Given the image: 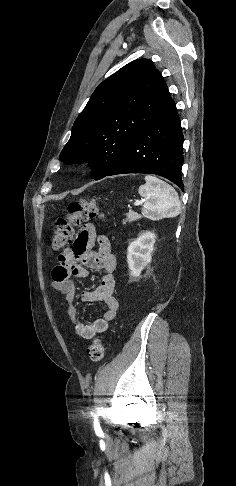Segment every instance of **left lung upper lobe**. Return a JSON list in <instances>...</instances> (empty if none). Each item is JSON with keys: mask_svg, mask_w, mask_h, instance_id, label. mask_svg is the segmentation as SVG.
<instances>
[{"mask_svg": "<svg viewBox=\"0 0 236 486\" xmlns=\"http://www.w3.org/2000/svg\"><path fill=\"white\" fill-rule=\"evenodd\" d=\"M172 98L161 73L148 59L125 65L104 80L74 122L60 153L66 164L88 162L91 177H105L134 137Z\"/></svg>", "mask_w": 236, "mask_h": 486, "instance_id": "1", "label": "left lung upper lobe"}]
</instances>
